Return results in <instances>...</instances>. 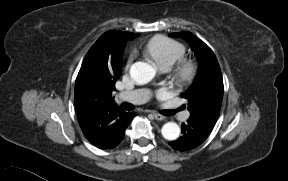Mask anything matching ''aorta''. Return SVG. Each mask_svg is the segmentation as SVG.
<instances>
[{
    "label": "aorta",
    "instance_id": "obj_1",
    "mask_svg": "<svg viewBox=\"0 0 288 181\" xmlns=\"http://www.w3.org/2000/svg\"><path fill=\"white\" fill-rule=\"evenodd\" d=\"M155 74V68L146 62H135L130 68V76L137 84L150 82ZM161 133L166 140L173 141L179 137L180 127L175 122H167L162 126Z\"/></svg>",
    "mask_w": 288,
    "mask_h": 181
}]
</instances>
